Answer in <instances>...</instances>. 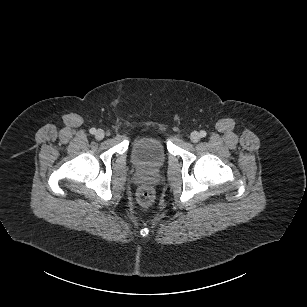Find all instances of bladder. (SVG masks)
<instances>
[{"mask_svg":"<svg viewBox=\"0 0 307 307\" xmlns=\"http://www.w3.org/2000/svg\"><path fill=\"white\" fill-rule=\"evenodd\" d=\"M168 151L165 142L157 136H144L133 144L131 159L140 169L154 171L164 165Z\"/></svg>","mask_w":307,"mask_h":307,"instance_id":"1","label":"bladder"}]
</instances>
